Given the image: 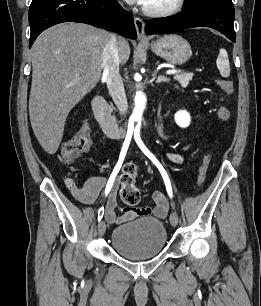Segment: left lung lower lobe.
<instances>
[{"mask_svg":"<svg viewBox=\"0 0 261 306\" xmlns=\"http://www.w3.org/2000/svg\"><path fill=\"white\" fill-rule=\"evenodd\" d=\"M235 10L231 0L207 1L184 10L174 16L155 18L146 25L147 34H165L192 27H210L235 42Z\"/></svg>","mask_w":261,"mask_h":306,"instance_id":"1","label":"left lung lower lobe"}]
</instances>
